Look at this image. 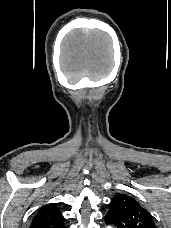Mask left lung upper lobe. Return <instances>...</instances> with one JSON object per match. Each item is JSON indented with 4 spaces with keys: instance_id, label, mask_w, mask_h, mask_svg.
<instances>
[{
    "instance_id": "5c2ea615",
    "label": "left lung upper lobe",
    "mask_w": 171,
    "mask_h": 228,
    "mask_svg": "<svg viewBox=\"0 0 171 228\" xmlns=\"http://www.w3.org/2000/svg\"><path fill=\"white\" fill-rule=\"evenodd\" d=\"M105 220L106 224L117 228H156L151 214L134 198L125 194L113 197Z\"/></svg>"
}]
</instances>
